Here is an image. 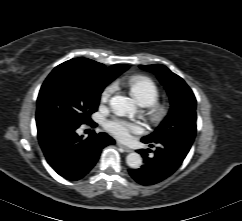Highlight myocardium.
<instances>
[{
	"label": "myocardium",
	"instance_id": "myocardium-1",
	"mask_svg": "<svg viewBox=\"0 0 242 221\" xmlns=\"http://www.w3.org/2000/svg\"><path fill=\"white\" fill-rule=\"evenodd\" d=\"M165 108L163 106L154 105L151 108V113L154 119H160L165 115Z\"/></svg>",
	"mask_w": 242,
	"mask_h": 221
}]
</instances>
